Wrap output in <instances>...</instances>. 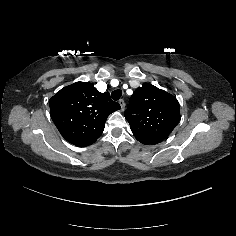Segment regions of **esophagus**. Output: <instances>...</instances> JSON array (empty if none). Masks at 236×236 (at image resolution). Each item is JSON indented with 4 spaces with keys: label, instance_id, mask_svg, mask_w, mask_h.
Masks as SVG:
<instances>
[{
    "label": "esophagus",
    "instance_id": "1",
    "mask_svg": "<svg viewBox=\"0 0 236 236\" xmlns=\"http://www.w3.org/2000/svg\"><path fill=\"white\" fill-rule=\"evenodd\" d=\"M119 104H120V106H121V111H124V108H125V102H124V100H123V99H120V100H119Z\"/></svg>",
    "mask_w": 236,
    "mask_h": 236
}]
</instances>
